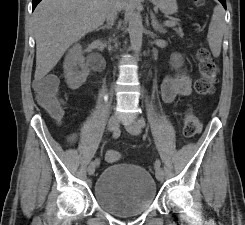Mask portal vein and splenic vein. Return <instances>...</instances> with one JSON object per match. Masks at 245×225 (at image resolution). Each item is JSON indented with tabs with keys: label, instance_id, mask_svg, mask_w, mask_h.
I'll return each instance as SVG.
<instances>
[{
	"label": "portal vein and splenic vein",
	"instance_id": "1",
	"mask_svg": "<svg viewBox=\"0 0 245 225\" xmlns=\"http://www.w3.org/2000/svg\"><path fill=\"white\" fill-rule=\"evenodd\" d=\"M164 25L167 27H173L175 25V19L172 18L171 20L164 21Z\"/></svg>",
	"mask_w": 245,
	"mask_h": 225
}]
</instances>
